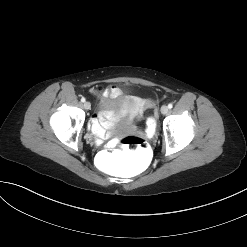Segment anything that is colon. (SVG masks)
<instances>
[{"mask_svg": "<svg viewBox=\"0 0 247 247\" xmlns=\"http://www.w3.org/2000/svg\"><path fill=\"white\" fill-rule=\"evenodd\" d=\"M143 136L152 138L156 120L147 118L145 120ZM155 159L154 148L140 136L129 135L121 140V150L115 151L111 148H102L95 155L96 166L116 177L134 178L143 174Z\"/></svg>", "mask_w": 247, "mask_h": 247, "instance_id": "5ec220e1", "label": "colon"}]
</instances>
